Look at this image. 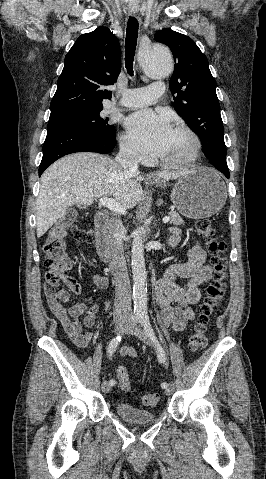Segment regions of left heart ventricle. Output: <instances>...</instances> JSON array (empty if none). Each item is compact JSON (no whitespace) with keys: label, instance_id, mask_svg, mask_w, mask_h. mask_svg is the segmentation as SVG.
<instances>
[{"label":"left heart ventricle","instance_id":"obj_1","mask_svg":"<svg viewBox=\"0 0 266 479\" xmlns=\"http://www.w3.org/2000/svg\"><path fill=\"white\" fill-rule=\"evenodd\" d=\"M190 146L191 141L186 134L174 131L170 144L161 158L166 160L179 158L187 153Z\"/></svg>","mask_w":266,"mask_h":479}]
</instances>
